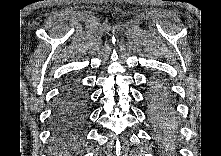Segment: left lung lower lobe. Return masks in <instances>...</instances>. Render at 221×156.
<instances>
[{"instance_id": "1", "label": "left lung lower lobe", "mask_w": 221, "mask_h": 156, "mask_svg": "<svg viewBox=\"0 0 221 156\" xmlns=\"http://www.w3.org/2000/svg\"><path fill=\"white\" fill-rule=\"evenodd\" d=\"M150 122L160 135L173 134L178 126L176 107L170 89L161 78H155L148 95Z\"/></svg>"}]
</instances>
